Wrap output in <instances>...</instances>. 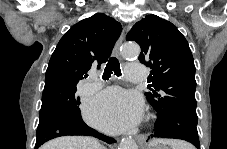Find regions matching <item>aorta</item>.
Listing matches in <instances>:
<instances>
[{
	"mask_svg": "<svg viewBox=\"0 0 227 149\" xmlns=\"http://www.w3.org/2000/svg\"><path fill=\"white\" fill-rule=\"evenodd\" d=\"M140 53V47L136 44L125 45L122 51V55L125 58L137 57ZM119 149H138L136 143L131 138H125L120 143Z\"/></svg>",
	"mask_w": 227,
	"mask_h": 149,
	"instance_id": "762f6f07",
	"label": "aorta"
}]
</instances>
